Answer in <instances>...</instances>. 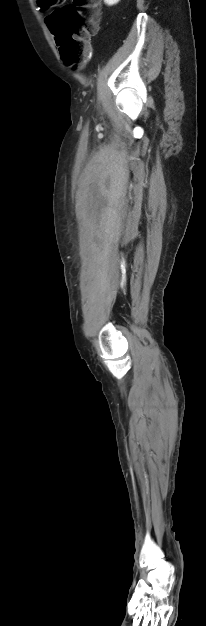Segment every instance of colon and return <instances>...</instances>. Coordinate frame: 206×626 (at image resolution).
Masks as SVG:
<instances>
[{"instance_id": "obj_1", "label": "colon", "mask_w": 206, "mask_h": 626, "mask_svg": "<svg viewBox=\"0 0 206 626\" xmlns=\"http://www.w3.org/2000/svg\"><path fill=\"white\" fill-rule=\"evenodd\" d=\"M64 0H41L42 6H59ZM99 0H72L48 17L49 29L63 62L77 69L88 54V38L98 29Z\"/></svg>"}]
</instances>
